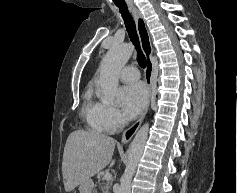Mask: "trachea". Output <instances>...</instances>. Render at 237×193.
<instances>
[{
	"label": "trachea",
	"mask_w": 237,
	"mask_h": 193,
	"mask_svg": "<svg viewBox=\"0 0 237 193\" xmlns=\"http://www.w3.org/2000/svg\"><path fill=\"white\" fill-rule=\"evenodd\" d=\"M118 7H119L120 13L122 15V18L124 20L128 35H129L132 43L135 45V48L138 52L137 61L142 68H145L147 62H146V58L140 48L135 22L131 16V14L129 13L127 7H122V6H118Z\"/></svg>",
	"instance_id": "obj_1"
}]
</instances>
